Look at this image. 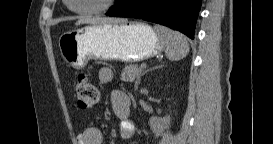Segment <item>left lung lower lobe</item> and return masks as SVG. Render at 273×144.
I'll use <instances>...</instances> for the list:
<instances>
[{
	"mask_svg": "<svg viewBox=\"0 0 273 144\" xmlns=\"http://www.w3.org/2000/svg\"><path fill=\"white\" fill-rule=\"evenodd\" d=\"M202 0H117L107 15L138 18L168 26L194 39Z\"/></svg>",
	"mask_w": 273,
	"mask_h": 144,
	"instance_id": "obj_1",
	"label": "left lung lower lobe"
}]
</instances>
